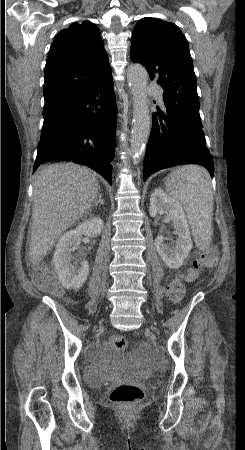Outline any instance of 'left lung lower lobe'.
<instances>
[{
    "mask_svg": "<svg viewBox=\"0 0 245 450\" xmlns=\"http://www.w3.org/2000/svg\"><path fill=\"white\" fill-rule=\"evenodd\" d=\"M163 100L166 113L153 114L143 180L161 169L188 163L203 165L213 177V159L202 123L182 106Z\"/></svg>",
    "mask_w": 245,
    "mask_h": 450,
    "instance_id": "obj_1",
    "label": "left lung lower lobe"
}]
</instances>
